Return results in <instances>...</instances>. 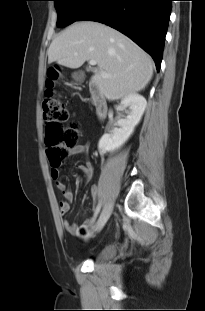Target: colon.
<instances>
[{"instance_id": "colon-1", "label": "colon", "mask_w": 205, "mask_h": 311, "mask_svg": "<svg viewBox=\"0 0 205 311\" xmlns=\"http://www.w3.org/2000/svg\"><path fill=\"white\" fill-rule=\"evenodd\" d=\"M61 78L57 68L46 72V93L42 102L43 119L45 122V145L50 166L57 172L62 162L70 155V150L78 145L79 129L77 124L66 126L69 114L55 91V85ZM86 230L80 233L84 234Z\"/></svg>"}]
</instances>
